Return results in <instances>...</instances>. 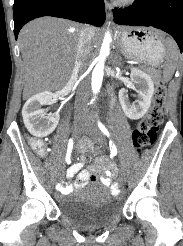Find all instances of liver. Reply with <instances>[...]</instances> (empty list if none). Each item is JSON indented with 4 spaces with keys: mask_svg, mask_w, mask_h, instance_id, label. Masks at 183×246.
<instances>
[{
    "mask_svg": "<svg viewBox=\"0 0 183 246\" xmlns=\"http://www.w3.org/2000/svg\"><path fill=\"white\" fill-rule=\"evenodd\" d=\"M82 29L78 23L54 17L35 19L22 28L18 41L24 61V99L44 91L60 90L67 84ZM98 40L99 29L93 28L87 61Z\"/></svg>",
    "mask_w": 183,
    "mask_h": 246,
    "instance_id": "liver-1",
    "label": "liver"
}]
</instances>
